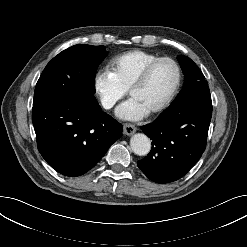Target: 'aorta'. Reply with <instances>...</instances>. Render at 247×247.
Instances as JSON below:
<instances>
[{
  "mask_svg": "<svg viewBox=\"0 0 247 247\" xmlns=\"http://www.w3.org/2000/svg\"><path fill=\"white\" fill-rule=\"evenodd\" d=\"M130 147L136 155L144 156L151 149V141L145 134L137 133L131 137Z\"/></svg>",
  "mask_w": 247,
  "mask_h": 247,
  "instance_id": "762f6f07",
  "label": "aorta"
}]
</instances>
